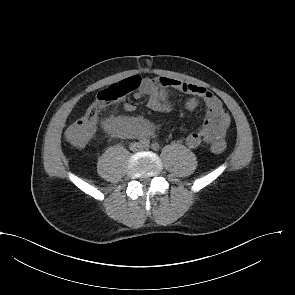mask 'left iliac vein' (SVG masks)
<instances>
[{
    "instance_id": "obj_1",
    "label": "left iliac vein",
    "mask_w": 295,
    "mask_h": 295,
    "mask_svg": "<svg viewBox=\"0 0 295 295\" xmlns=\"http://www.w3.org/2000/svg\"><path fill=\"white\" fill-rule=\"evenodd\" d=\"M149 147L148 146H145V149H148Z\"/></svg>"
}]
</instances>
